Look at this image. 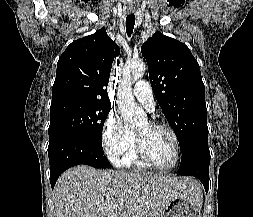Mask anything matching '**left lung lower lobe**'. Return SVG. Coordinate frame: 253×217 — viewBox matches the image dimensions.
I'll use <instances>...</instances> for the list:
<instances>
[{
	"mask_svg": "<svg viewBox=\"0 0 253 217\" xmlns=\"http://www.w3.org/2000/svg\"><path fill=\"white\" fill-rule=\"evenodd\" d=\"M210 151L208 141H192L182 152L178 174L198 178L206 192L209 188Z\"/></svg>",
	"mask_w": 253,
	"mask_h": 217,
	"instance_id": "left-lung-lower-lobe-1",
	"label": "left lung lower lobe"
}]
</instances>
